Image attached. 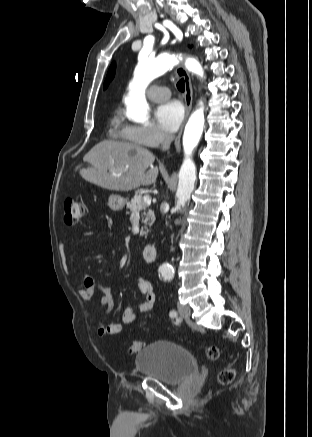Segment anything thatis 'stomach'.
I'll return each instance as SVG.
<instances>
[{
	"label": "stomach",
	"mask_w": 312,
	"mask_h": 437,
	"mask_svg": "<svg viewBox=\"0 0 312 437\" xmlns=\"http://www.w3.org/2000/svg\"><path fill=\"white\" fill-rule=\"evenodd\" d=\"M126 200L116 194H112L108 198V206L113 211H121L125 206Z\"/></svg>",
	"instance_id": "1"
}]
</instances>
